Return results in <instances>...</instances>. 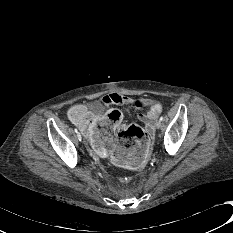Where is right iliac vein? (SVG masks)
<instances>
[{"label": "right iliac vein", "mask_w": 233, "mask_h": 233, "mask_svg": "<svg viewBox=\"0 0 233 233\" xmlns=\"http://www.w3.org/2000/svg\"><path fill=\"white\" fill-rule=\"evenodd\" d=\"M77 138H78L79 141L82 140V136H81V134L79 132L77 133Z\"/></svg>", "instance_id": "obj_1"}]
</instances>
